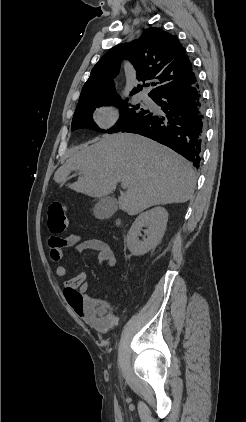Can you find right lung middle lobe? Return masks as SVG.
Segmentation results:
<instances>
[{
	"mask_svg": "<svg viewBox=\"0 0 246 422\" xmlns=\"http://www.w3.org/2000/svg\"><path fill=\"white\" fill-rule=\"evenodd\" d=\"M101 105L117 106L119 107L121 113L117 123L107 131L100 129L92 118V113L95 108ZM150 115L151 112L149 110L141 108L138 105L131 108L120 97L97 100L76 108L72 120L71 130L88 128L99 132L115 133L135 125L136 123L148 118Z\"/></svg>",
	"mask_w": 246,
	"mask_h": 422,
	"instance_id": "obj_1",
	"label": "right lung middle lobe"
}]
</instances>
